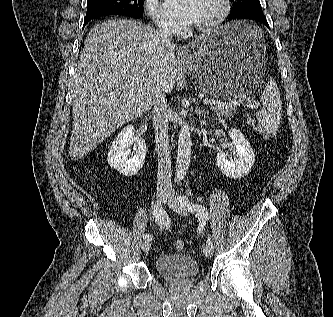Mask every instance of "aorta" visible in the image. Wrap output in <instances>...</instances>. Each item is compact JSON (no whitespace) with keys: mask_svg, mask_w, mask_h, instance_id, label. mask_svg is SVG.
<instances>
[{"mask_svg":"<svg viewBox=\"0 0 333 317\" xmlns=\"http://www.w3.org/2000/svg\"><path fill=\"white\" fill-rule=\"evenodd\" d=\"M191 135L188 124H184L179 132L178 151L176 159V180L181 181L189 168L191 156Z\"/></svg>","mask_w":333,"mask_h":317,"instance_id":"762f6f07","label":"aorta"}]
</instances>
